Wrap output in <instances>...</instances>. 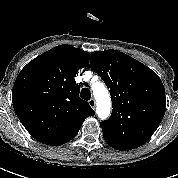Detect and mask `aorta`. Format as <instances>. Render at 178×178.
I'll return each mask as SVG.
<instances>
[{
    "instance_id": "762f6f07",
    "label": "aorta",
    "mask_w": 178,
    "mask_h": 178,
    "mask_svg": "<svg viewBox=\"0 0 178 178\" xmlns=\"http://www.w3.org/2000/svg\"><path fill=\"white\" fill-rule=\"evenodd\" d=\"M93 95L97 102V114L100 119H106L111 111V99L108 90L103 83L97 82L92 85Z\"/></svg>"
}]
</instances>
